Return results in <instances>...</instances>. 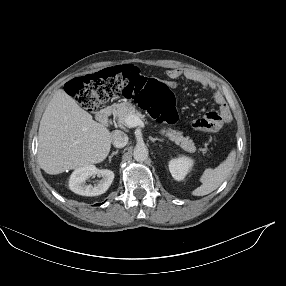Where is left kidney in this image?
Returning a JSON list of instances; mask_svg holds the SVG:
<instances>
[{"label":"left kidney","mask_w":286,"mask_h":286,"mask_svg":"<svg viewBox=\"0 0 286 286\" xmlns=\"http://www.w3.org/2000/svg\"><path fill=\"white\" fill-rule=\"evenodd\" d=\"M193 164L194 161L191 158L182 156L170 160L168 166L172 177L177 181H181L185 178L186 174L192 168Z\"/></svg>","instance_id":"left-kidney-1"}]
</instances>
